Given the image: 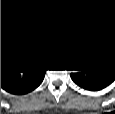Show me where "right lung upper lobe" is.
<instances>
[{"label": "right lung upper lobe", "mask_w": 115, "mask_h": 114, "mask_svg": "<svg viewBox=\"0 0 115 114\" xmlns=\"http://www.w3.org/2000/svg\"><path fill=\"white\" fill-rule=\"evenodd\" d=\"M3 44H6V43L2 42L1 45H3ZM12 50H13V56L14 57H21L18 50H16L15 48H12Z\"/></svg>", "instance_id": "obj_1"}]
</instances>
